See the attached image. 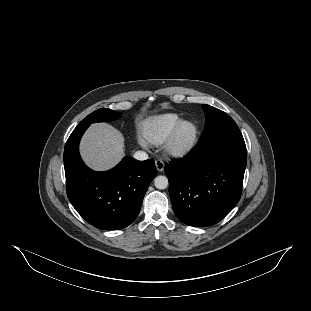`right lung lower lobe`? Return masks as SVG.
Masks as SVG:
<instances>
[{
    "label": "right lung lower lobe",
    "mask_w": 311,
    "mask_h": 311,
    "mask_svg": "<svg viewBox=\"0 0 311 311\" xmlns=\"http://www.w3.org/2000/svg\"><path fill=\"white\" fill-rule=\"evenodd\" d=\"M89 126H77L64 148L67 196L76 211L91 225L117 230L139 214L144 195L157 174L154 159L125 157L107 172H95L82 161L79 141Z\"/></svg>",
    "instance_id": "right-lung-lower-lobe-1"
}]
</instances>
